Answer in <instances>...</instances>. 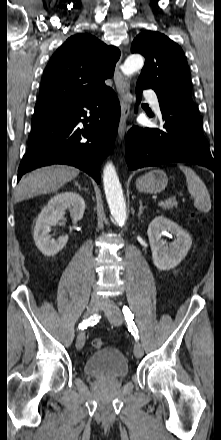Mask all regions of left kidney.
Segmentation results:
<instances>
[{"mask_svg": "<svg viewBox=\"0 0 221 440\" xmlns=\"http://www.w3.org/2000/svg\"><path fill=\"white\" fill-rule=\"evenodd\" d=\"M173 234L176 238L167 243L162 235ZM152 259L160 270H170L176 267L187 255L192 245V239L187 231L164 216L155 217L147 230Z\"/></svg>", "mask_w": 221, "mask_h": 440, "instance_id": "obj_1", "label": "left kidney"}]
</instances>
